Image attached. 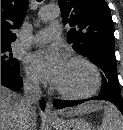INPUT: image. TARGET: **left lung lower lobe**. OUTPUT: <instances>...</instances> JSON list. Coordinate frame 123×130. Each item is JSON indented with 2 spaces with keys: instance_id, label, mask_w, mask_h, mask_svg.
Segmentation results:
<instances>
[{
  "instance_id": "0a47b994",
  "label": "left lung lower lobe",
  "mask_w": 123,
  "mask_h": 130,
  "mask_svg": "<svg viewBox=\"0 0 123 130\" xmlns=\"http://www.w3.org/2000/svg\"><path fill=\"white\" fill-rule=\"evenodd\" d=\"M93 100H105V101H109V100H107V99H105V98H102V97H100V96H98V97H95V98H93ZM83 102H85V100H83V101H74V102H70V101H54L53 102V105H54V107L55 108H57V109H61V108H64V107H71V106H76V105H78V104H81V103H83ZM109 102H111V101H109ZM112 103V102H111ZM114 104V103H113ZM120 111H121V113L123 114V106H120V105H117V104H114Z\"/></svg>"
}]
</instances>
